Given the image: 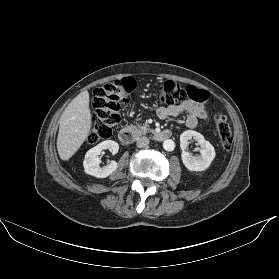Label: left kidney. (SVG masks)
<instances>
[{
    "label": "left kidney",
    "instance_id": "obj_1",
    "mask_svg": "<svg viewBox=\"0 0 279 279\" xmlns=\"http://www.w3.org/2000/svg\"><path fill=\"white\" fill-rule=\"evenodd\" d=\"M192 138L201 146L200 155L197 157L187 151L188 141ZM180 147L182 162L189 171L206 170L216 155L212 144L206 141L202 134L193 130H186L180 135Z\"/></svg>",
    "mask_w": 279,
    "mask_h": 279
}]
</instances>
